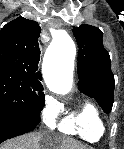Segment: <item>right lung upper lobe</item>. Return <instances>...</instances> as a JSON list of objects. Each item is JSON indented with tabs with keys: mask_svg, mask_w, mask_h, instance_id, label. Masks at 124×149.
I'll list each match as a JSON object with an SVG mask.
<instances>
[{
	"mask_svg": "<svg viewBox=\"0 0 124 149\" xmlns=\"http://www.w3.org/2000/svg\"><path fill=\"white\" fill-rule=\"evenodd\" d=\"M41 29L33 20L18 17L0 31V70L20 75L29 84L42 87L38 70Z\"/></svg>",
	"mask_w": 124,
	"mask_h": 149,
	"instance_id": "1",
	"label": "right lung upper lobe"
}]
</instances>
